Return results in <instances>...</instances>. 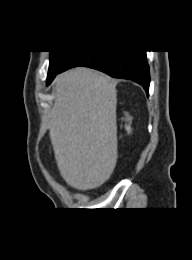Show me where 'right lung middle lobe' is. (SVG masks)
<instances>
[{
    "label": "right lung middle lobe",
    "mask_w": 192,
    "mask_h": 260,
    "mask_svg": "<svg viewBox=\"0 0 192 260\" xmlns=\"http://www.w3.org/2000/svg\"><path fill=\"white\" fill-rule=\"evenodd\" d=\"M75 54L72 51H50V64L47 80L55 77L64 67L66 62Z\"/></svg>",
    "instance_id": "right-lung-middle-lobe-1"
}]
</instances>
